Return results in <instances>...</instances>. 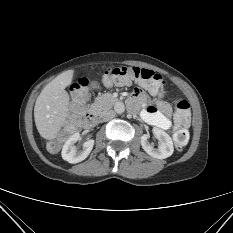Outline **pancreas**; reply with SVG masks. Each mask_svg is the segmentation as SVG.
<instances>
[{
    "label": "pancreas",
    "instance_id": "1",
    "mask_svg": "<svg viewBox=\"0 0 233 233\" xmlns=\"http://www.w3.org/2000/svg\"><path fill=\"white\" fill-rule=\"evenodd\" d=\"M116 102L117 99L110 93L98 95L90 107V112L93 115L101 117L106 111L110 110Z\"/></svg>",
    "mask_w": 233,
    "mask_h": 233
}]
</instances>
